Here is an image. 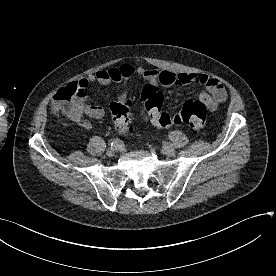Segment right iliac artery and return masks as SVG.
I'll return each instance as SVG.
<instances>
[{
  "label": "right iliac artery",
  "instance_id": "82829eb1",
  "mask_svg": "<svg viewBox=\"0 0 276 276\" xmlns=\"http://www.w3.org/2000/svg\"><path fill=\"white\" fill-rule=\"evenodd\" d=\"M111 146L112 147H120V148H122L123 147V143L120 140L116 139V140L112 141Z\"/></svg>",
  "mask_w": 276,
  "mask_h": 276
}]
</instances>
